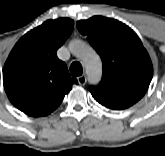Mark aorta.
<instances>
[{
  "label": "aorta",
  "mask_w": 165,
  "mask_h": 156,
  "mask_svg": "<svg viewBox=\"0 0 165 156\" xmlns=\"http://www.w3.org/2000/svg\"><path fill=\"white\" fill-rule=\"evenodd\" d=\"M70 52L79 58L85 66L89 82L96 84L101 79L102 63L96 52L81 40H74L69 45Z\"/></svg>",
  "instance_id": "aorta-1"
}]
</instances>
